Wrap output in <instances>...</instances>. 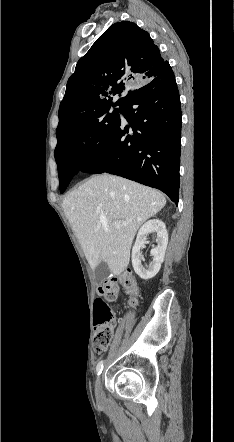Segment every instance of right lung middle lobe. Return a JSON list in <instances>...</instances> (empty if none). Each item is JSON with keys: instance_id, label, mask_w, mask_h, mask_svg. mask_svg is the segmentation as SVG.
Wrapping results in <instances>:
<instances>
[{"instance_id": "dd1d6c3e", "label": "right lung middle lobe", "mask_w": 234, "mask_h": 442, "mask_svg": "<svg viewBox=\"0 0 234 442\" xmlns=\"http://www.w3.org/2000/svg\"><path fill=\"white\" fill-rule=\"evenodd\" d=\"M110 107L95 111L82 118L55 148L59 188L63 193L73 176L107 140L119 121V110Z\"/></svg>"}]
</instances>
